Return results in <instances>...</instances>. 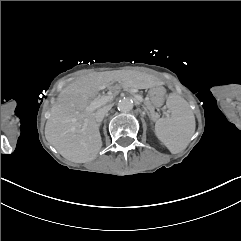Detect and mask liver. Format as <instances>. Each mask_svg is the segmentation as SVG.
I'll return each instance as SVG.
<instances>
[{
    "label": "liver",
    "mask_w": 241,
    "mask_h": 241,
    "mask_svg": "<svg viewBox=\"0 0 241 241\" xmlns=\"http://www.w3.org/2000/svg\"><path fill=\"white\" fill-rule=\"evenodd\" d=\"M125 79L123 73L106 71L83 76L60 93L45 126L46 140L67 160L86 163L102 147L95 110H87L98 91ZM149 79L146 86H154Z\"/></svg>",
    "instance_id": "obj_1"
}]
</instances>
